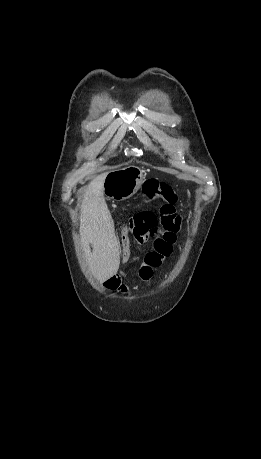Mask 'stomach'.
<instances>
[{"instance_id":"1","label":"stomach","mask_w":261,"mask_h":459,"mask_svg":"<svg viewBox=\"0 0 261 459\" xmlns=\"http://www.w3.org/2000/svg\"><path fill=\"white\" fill-rule=\"evenodd\" d=\"M143 181V172L136 167L117 169L107 174L104 194L116 201L126 200L141 188Z\"/></svg>"}]
</instances>
